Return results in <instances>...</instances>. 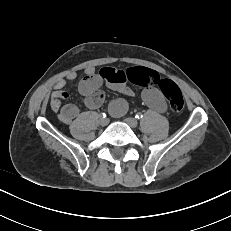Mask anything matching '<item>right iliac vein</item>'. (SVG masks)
Here are the masks:
<instances>
[{
	"label": "right iliac vein",
	"instance_id": "63e3f726",
	"mask_svg": "<svg viewBox=\"0 0 231 231\" xmlns=\"http://www.w3.org/2000/svg\"><path fill=\"white\" fill-rule=\"evenodd\" d=\"M99 124L101 125V126H106L107 124H108V119H105V118H103V117H101L100 119H99Z\"/></svg>",
	"mask_w": 231,
	"mask_h": 231
}]
</instances>
